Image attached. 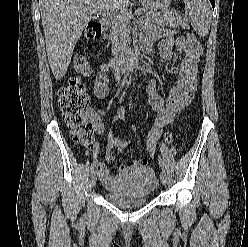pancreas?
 Masks as SVG:
<instances>
[{"label": "pancreas", "mask_w": 248, "mask_h": 247, "mask_svg": "<svg viewBox=\"0 0 248 247\" xmlns=\"http://www.w3.org/2000/svg\"><path fill=\"white\" fill-rule=\"evenodd\" d=\"M139 15H141L139 23L141 25H144L145 28L156 29L164 26L182 28L189 27L186 21L181 17H174L172 15L164 17L155 10L142 8L140 9ZM108 26L110 29V33L107 36V39L112 44V54L117 56L125 54L129 49L131 41V24L129 17L123 14L120 16L112 17L108 20Z\"/></svg>", "instance_id": "cf45deb5"}]
</instances>
